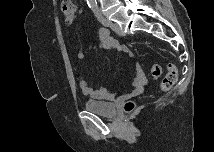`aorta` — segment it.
Returning a JSON list of instances; mask_svg holds the SVG:
<instances>
[{"label": "aorta", "mask_w": 215, "mask_h": 152, "mask_svg": "<svg viewBox=\"0 0 215 152\" xmlns=\"http://www.w3.org/2000/svg\"><path fill=\"white\" fill-rule=\"evenodd\" d=\"M89 6L93 9L97 7V2L96 0H88Z\"/></svg>", "instance_id": "obj_1"}]
</instances>
